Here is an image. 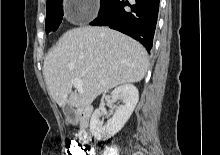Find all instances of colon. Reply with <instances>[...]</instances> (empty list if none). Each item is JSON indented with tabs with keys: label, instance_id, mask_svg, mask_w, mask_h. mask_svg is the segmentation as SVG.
<instances>
[{
	"label": "colon",
	"instance_id": "5ec220e1",
	"mask_svg": "<svg viewBox=\"0 0 220 155\" xmlns=\"http://www.w3.org/2000/svg\"><path fill=\"white\" fill-rule=\"evenodd\" d=\"M91 143H78L76 140H70L66 143V151L69 155H92L89 148Z\"/></svg>",
	"mask_w": 220,
	"mask_h": 155
}]
</instances>
